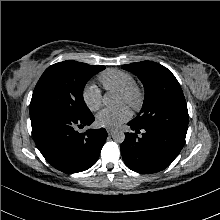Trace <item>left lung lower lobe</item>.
Wrapping results in <instances>:
<instances>
[{"label":"left lung lower lobe","mask_w":220,"mask_h":220,"mask_svg":"<svg viewBox=\"0 0 220 220\" xmlns=\"http://www.w3.org/2000/svg\"><path fill=\"white\" fill-rule=\"evenodd\" d=\"M135 133H125L121 154L126 166L138 173H156L167 168L180 153L185 136L162 127H139L128 122ZM142 130L141 137L137 134Z\"/></svg>","instance_id":"1"}]
</instances>
